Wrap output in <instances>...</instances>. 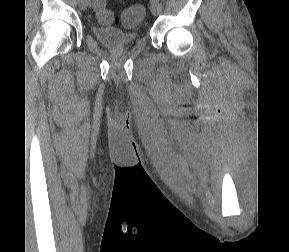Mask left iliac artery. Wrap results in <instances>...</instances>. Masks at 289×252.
<instances>
[{"instance_id":"1","label":"left iliac artery","mask_w":289,"mask_h":252,"mask_svg":"<svg viewBox=\"0 0 289 252\" xmlns=\"http://www.w3.org/2000/svg\"><path fill=\"white\" fill-rule=\"evenodd\" d=\"M156 1H158V0H151V3L156 2Z\"/></svg>"}]
</instances>
